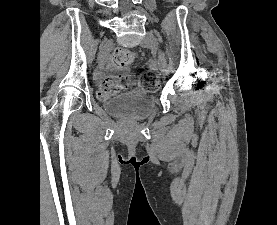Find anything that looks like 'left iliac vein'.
<instances>
[{"label":"left iliac vein","instance_id":"4c4485c4","mask_svg":"<svg viewBox=\"0 0 277 225\" xmlns=\"http://www.w3.org/2000/svg\"><path fill=\"white\" fill-rule=\"evenodd\" d=\"M141 45L142 47L150 48L157 52L159 70L163 73H168L166 60L164 58V55L160 51H158V41L152 32L148 31L146 33L144 39L141 42Z\"/></svg>","mask_w":277,"mask_h":225}]
</instances>
